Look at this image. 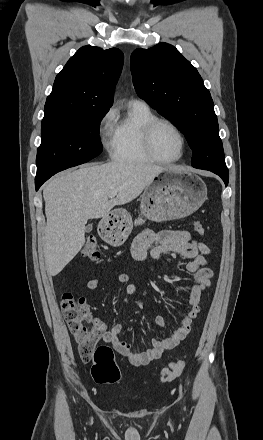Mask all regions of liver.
I'll return each instance as SVG.
<instances>
[{
    "label": "liver",
    "mask_w": 263,
    "mask_h": 440,
    "mask_svg": "<svg viewBox=\"0 0 263 440\" xmlns=\"http://www.w3.org/2000/svg\"><path fill=\"white\" fill-rule=\"evenodd\" d=\"M167 169L142 162L86 165L63 172L43 187L47 224L43 250L47 273L56 276L85 243L88 219L108 215L116 205L136 199L154 178ZM117 190L116 198L109 194Z\"/></svg>",
    "instance_id": "liver-1"
}]
</instances>
